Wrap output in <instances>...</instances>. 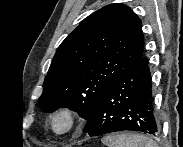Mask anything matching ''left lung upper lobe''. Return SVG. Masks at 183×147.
Listing matches in <instances>:
<instances>
[{
    "label": "left lung upper lobe",
    "instance_id": "obj_1",
    "mask_svg": "<svg viewBox=\"0 0 183 147\" xmlns=\"http://www.w3.org/2000/svg\"><path fill=\"white\" fill-rule=\"evenodd\" d=\"M141 27L121 3L85 18L54 55L38 101L42 110L69 107L87 120L106 89L143 56Z\"/></svg>",
    "mask_w": 183,
    "mask_h": 147
}]
</instances>
